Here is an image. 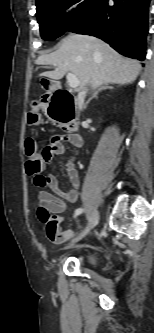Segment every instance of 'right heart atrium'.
<instances>
[{"label":"right heart atrium","instance_id":"obj_1","mask_svg":"<svg viewBox=\"0 0 154 333\" xmlns=\"http://www.w3.org/2000/svg\"><path fill=\"white\" fill-rule=\"evenodd\" d=\"M79 12V7L76 1H71L63 10V22L67 27H70L75 22Z\"/></svg>","mask_w":154,"mask_h":333}]
</instances>
